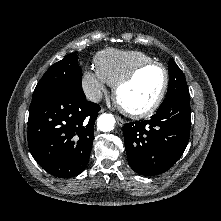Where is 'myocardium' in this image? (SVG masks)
<instances>
[{
    "instance_id": "myocardium-1",
    "label": "myocardium",
    "mask_w": 221,
    "mask_h": 221,
    "mask_svg": "<svg viewBox=\"0 0 221 221\" xmlns=\"http://www.w3.org/2000/svg\"><path fill=\"white\" fill-rule=\"evenodd\" d=\"M149 67H159L163 71L164 81H163V85L161 87L159 94L157 95L153 103L144 109L132 110V109L126 108L119 101L120 90L124 86L132 82L142 70L149 68ZM168 87H169V72L167 68L162 63L151 60V61L143 62L135 66L130 72H128L124 77H122L114 86L113 96H114L116 103L125 114L133 118H144V117L152 115L160 107V105L162 104L165 98Z\"/></svg>"
}]
</instances>
